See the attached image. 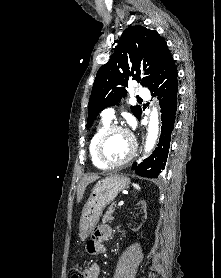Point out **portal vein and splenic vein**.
I'll return each mask as SVG.
<instances>
[{"label": "portal vein and splenic vein", "instance_id": "1", "mask_svg": "<svg viewBox=\"0 0 221 278\" xmlns=\"http://www.w3.org/2000/svg\"><path fill=\"white\" fill-rule=\"evenodd\" d=\"M121 205H123V201H120V202L118 203V206H121Z\"/></svg>", "mask_w": 221, "mask_h": 278}]
</instances>
